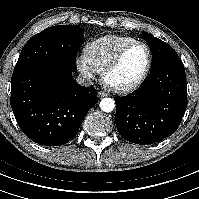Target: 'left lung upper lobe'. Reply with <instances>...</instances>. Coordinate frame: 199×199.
I'll list each match as a JSON object with an SVG mask.
<instances>
[{"label":"left lung upper lobe","mask_w":199,"mask_h":199,"mask_svg":"<svg viewBox=\"0 0 199 199\" xmlns=\"http://www.w3.org/2000/svg\"><path fill=\"white\" fill-rule=\"evenodd\" d=\"M142 38L148 42L150 50L152 52V64L151 69H154L162 62L178 57L173 48L166 42L154 37L153 35L143 32Z\"/></svg>","instance_id":"obj_1"}]
</instances>
